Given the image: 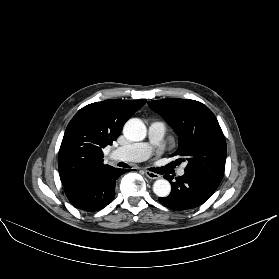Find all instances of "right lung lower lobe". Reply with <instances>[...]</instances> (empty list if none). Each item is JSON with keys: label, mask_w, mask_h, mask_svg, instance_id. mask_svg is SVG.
<instances>
[{"label": "right lung lower lobe", "mask_w": 279, "mask_h": 279, "mask_svg": "<svg viewBox=\"0 0 279 279\" xmlns=\"http://www.w3.org/2000/svg\"><path fill=\"white\" fill-rule=\"evenodd\" d=\"M126 169H114L84 184L67 189V198L78 209L94 212L112 202L115 196V184Z\"/></svg>", "instance_id": "98d812e1"}]
</instances>
